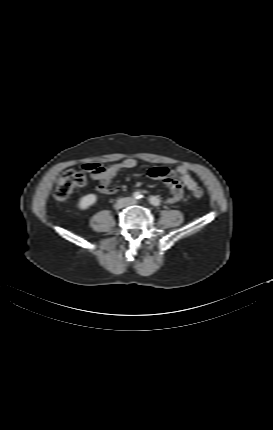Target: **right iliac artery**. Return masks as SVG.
Listing matches in <instances>:
<instances>
[{
	"mask_svg": "<svg viewBox=\"0 0 273 430\" xmlns=\"http://www.w3.org/2000/svg\"><path fill=\"white\" fill-rule=\"evenodd\" d=\"M133 197L135 198V199H140V198H142L143 197V195L140 193V192H134L133 193Z\"/></svg>",
	"mask_w": 273,
	"mask_h": 430,
	"instance_id": "right-iliac-artery-1",
	"label": "right iliac artery"
}]
</instances>
